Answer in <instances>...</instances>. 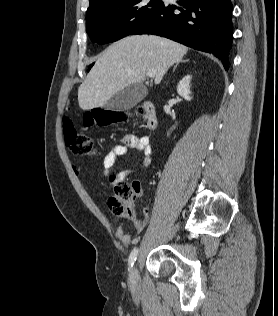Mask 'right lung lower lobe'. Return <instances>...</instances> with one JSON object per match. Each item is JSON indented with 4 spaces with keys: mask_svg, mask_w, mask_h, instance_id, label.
I'll list each match as a JSON object with an SVG mask.
<instances>
[{
    "mask_svg": "<svg viewBox=\"0 0 278 316\" xmlns=\"http://www.w3.org/2000/svg\"><path fill=\"white\" fill-rule=\"evenodd\" d=\"M177 3L162 2L159 9L131 35H159L212 53L228 69L233 35L230 0H179Z\"/></svg>",
    "mask_w": 278,
    "mask_h": 316,
    "instance_id": "obj_1",
    "label": "right lung lower lobe"
}]
</instances>
